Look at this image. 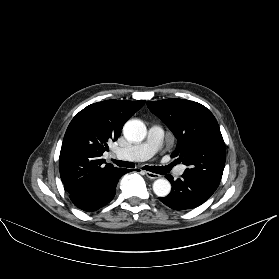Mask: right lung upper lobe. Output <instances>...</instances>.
I'll list each match as a JSON object with an SVG mask.
<instances>
[{"label":"right lung upper lobe","instance_id":"obj_1","mask_svg":"<svg viewBox=\"0 0 279 279\" xmlns=\"http://www.w3.org/2000/svg\"><path fill=\"white\" fill-rule=\"evenodd\" d=\"M145 101L106 100L91 104L73 118L59 157L61 180L69 194L84 191L122 168L102 159L108 142L116 141L125 122Z\"/></svg>","mask_w":279,"mask_h":279}]
</instances>
